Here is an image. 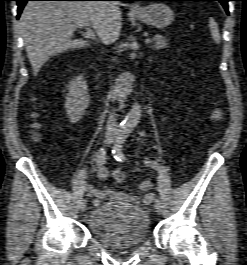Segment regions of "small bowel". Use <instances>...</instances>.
<instances>
[{"label": "small bowel", "instance_id": "1", "mask_svg": "<svg viewBox=\"0 0 247 265\" xmlns=\"http://www.w3.org/2000/svg\"><path fill=\"white\" fill-rule=\"evenodd\" d=\"M88 173L96 174L101 180H108L109 178V171L105 167L98 164L92 166ZM138 188L144 193L142 202L146 205L151 204L153 201V194L151 193L153 188L152 182L149 180L142 181ZM85 194L88 196H96L98 199L109 198L114 201H124L130 204H138L140 202V198L138 196L126 194L119 191L118 189L98 190L94 187L88 186L85 188Z\"/></svg>", "mask_w": 247, "mask_h": 265}]
</instances>
